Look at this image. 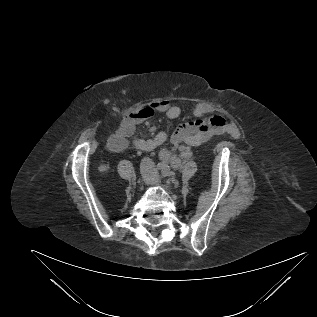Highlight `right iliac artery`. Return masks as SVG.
<instances>
[{"label":"right iliac artery","mask_w":317,"mask_h":317,"mask_svg":"<svg viewBox=\"0 0 317 317\" xmlns=\"http://www.w3.org/2000/svg\"><path fill=\"white\" fill-rule=\"evenodd\" d=\"M166 164L164 162H160L157 164V168L160 169V170H163L166 168Z\"/></svg>","instance_id":"82829eb1"}]
</instances>
